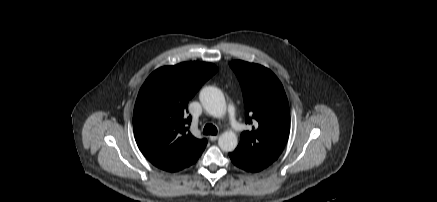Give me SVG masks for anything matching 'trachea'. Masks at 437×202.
Here are the masks:
<instances>
[{"label": "trachea", "instance_id": "trachea-1", "mask_svg": "<svg viewBox=\"0 0 437 202\" xmlns=\"http://www.w3.org/2000/svg\"><path fill=\"white\" fill-rule=\"evenodd\" d=\"M204 135H216L217 134V128L213 124H206L203 129Z\"/></svg>", "mask_w": 437, "mask_h": 202}]
</instances>
